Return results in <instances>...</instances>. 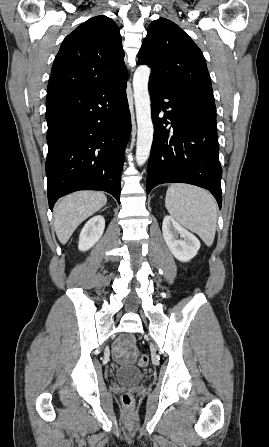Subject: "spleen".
<instances>
[{"label":"spleen","mask_w":269,"mask_h":447,"mask_svg":"<svg viewBox=\"0 0 269 447\" xmlns=\"http://www.w3.org/2000/svg\"><path fill=\"white\" fill-rule=\"evenodd\" d=\"M165 206L179 224L198 233L206 245H212L217 210L215 200L207 190L188 184H172L166 192Z\"/></svg>","instance_id":"obj_1"}]
</instances>
